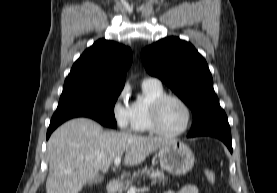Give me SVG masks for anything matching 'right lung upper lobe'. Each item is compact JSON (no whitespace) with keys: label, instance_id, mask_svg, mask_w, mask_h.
I'll list each match as a JSON object with an SVG mask.
<instances>
[{"label":"right lung upper lobe","instance_id":"obj_1","mask_svg":"<svg viewBox=\"0 0 277 193\" xmlns=\"http://www.w3.org/2000/svg\"><path fill=\"white\" fill-rule=\"evenodd\" d=\"M132 60L130 48L100 39L73 64L63 90L76 87L122 90Z\"/></svg>","mask_w":277,"mask_h":193}]
</instances>
